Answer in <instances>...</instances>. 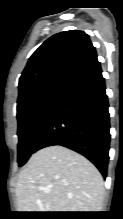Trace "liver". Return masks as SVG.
<instances>
[{
    "label": "liver",
    "instance_id": "obj_1",
    "mask_svg": "<svg viewBox=\"0 0 123 219\" xmlns=\"http://www.w3.org/2000/svg\"><path fill=\"white\" fill-rule=\"evenodd\" d=\"M104 194L98 169L59 145L34 153L16 185L19 212H100Z\"/></svg>",
    "mask_w": 123,
    "mask_h": 219
}]
</instances>
